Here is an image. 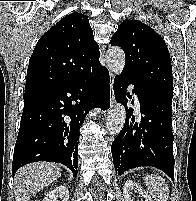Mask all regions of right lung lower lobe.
I'll return each instance as SVG.
<instances>
[{
	"label": "right lung lower lobe",
	"mask_w": 196,
	"mask_h": 201,
	"mask_svg": "<svg viewBox=\"0 0 196 201\" xmlns=\"http://www.w3.org/2000/svg\"><path fill=\"white\" fill-rule=\"evenodd\" d=\"M110 106L109 73L100 62L77 77L24 93L12 174L36 161L57 162L75 176L79 130L89 110Z\"/></svg>",
	"instance_id": "1"
}]
</instances>
